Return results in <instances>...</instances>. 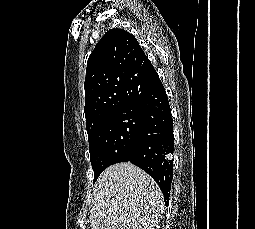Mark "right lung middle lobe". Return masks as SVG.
Wrapping results in <instances>:
<instances>
[{
    "instance_id": "1",
    "label": "right lung middle lobe",
    "mask_w": 255,
    "mask_h": 229,
    "mask_svg": "<svg viewBox=\"0 0 255 229\" xmlns=\"http://www.w3.org/2000/svg\"><path fill=\"white\" fill-rule=\"evenodd\" d=\"M139 125L138 116L124 109L102 123L88 137L90 161L94 171L93 183L110 165L129 160Z\"/></svg>"
}]
</instances>
